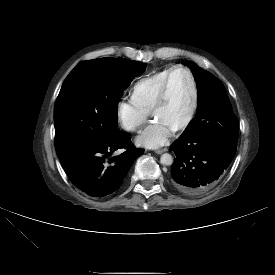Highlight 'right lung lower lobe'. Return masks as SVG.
I'll list each match as a JSON object with an SVG mask.
<instances>
[{"instance_id": "obj_1", "label": "right lung lower lobe", "mask_w": 275, "mask_h": 275, "mask_svg": "<svg viewBox=\"0 0 275 275\" xmlns=\"http://www.w3.org/2000/svg\"><path fill=\"white\" fill-rule=\"evenodd\" d=\"M126 148L117 158L114 151ZM143 152L121 132L77 146L58 155L72 182L92 197H103L117 190L133 161Z\"/></svg>"}]
</instances>
